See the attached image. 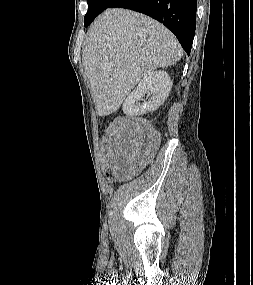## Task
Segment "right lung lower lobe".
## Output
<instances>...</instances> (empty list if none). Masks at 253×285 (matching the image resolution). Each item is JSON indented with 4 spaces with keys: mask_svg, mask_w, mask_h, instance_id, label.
<instances>
[{
    "mask_svg": "<svg viewBox=\"0 0 253 285\" xmlns=\"http://www.w3.org/2000/svg\"><path fill=\"white\" fill-rule=\"evenodd\" d=\"M109 7L131 9L163 23L189 55L196 28L197 0H114Z\"/></svg>",
    "mask_w": 253,
    "mask_h": 285,
    "instance_id": "right-lung-lower-lobe-1",
    "label": "right lung lower lobe"
}]
</instances>
